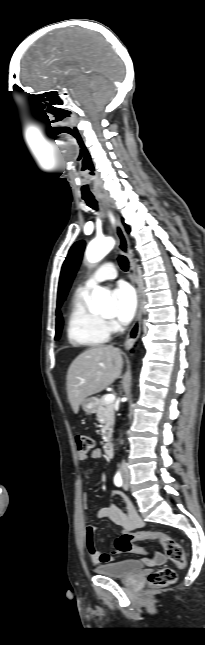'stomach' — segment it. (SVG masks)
<instances>
[{
  "label": "stomach",
  "instance_id": "0dacf381",
  "mask_svg": "<svg viewBox=\"0 0 205 645\" xmlns=\"http://www.w3.org/2000/svg\"><path fill=\"white\" fill-rule=\"evenodd\" d=\"M98 403L99 400L96 397L88 398L82 403V409L84 412L92 414L96 412Z\"/></svg>",
  "mask_w": 205,
  "mask_h": 645
}]
</instances>
